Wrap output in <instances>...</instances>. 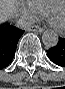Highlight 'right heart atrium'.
Segmentation results:
<instances>
[{
  "instance_id": "1",
  "label": "right heart atrium",
  "mask_w": 65,
  "mask_h": 89,
  "mask_svg": "<svg viewBox=\"0 0 65 89\" xmlns=\"http://www.w3.org/2000/svg\"><path fill=\"white\" fill-rule=\"evenodd\" d=\"M16 10L21 15V17L27 22H33L39 17L45 15V11L40 9L32 1L19 0L16 3Z\"/></svg>"
}]
</instances>
